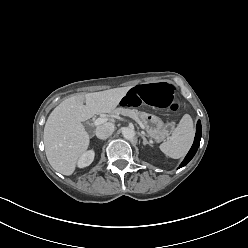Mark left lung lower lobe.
<instances>
[{
  "label": "left lung lower lobe",
  "instance_id": "0a47b994",
  "mask_svg": "<svg viewBox=\"0 0 248 248\" xmlns=\"http://www.w3.org/2000/svg\"><path fill=\"white\" fill-rule=\"evenodd\" d=\"M201 133H202V129H201V122L198 121L197 122V126H196V134H195V139H194V143L190 149V151L188 152V154L186 155L185 159L182 161V163L180 164L179 168L184 167L185 165L188 164V162L194 157V155L197 152V149L200 145V140H201Z\"/></svg>",
  "mask_w": 248,
  "mask_h": 248
}]
</instances>
